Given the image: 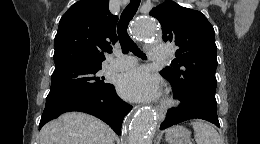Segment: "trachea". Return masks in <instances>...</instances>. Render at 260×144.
<instances>
[{"mask_svg":"<svg viewBox=\"0 0 260 144\" xmlns=\"http://www.w3.org/2000/svg\"><path fill=\"white\" fill-rule=\"evenodd\" d=\"M140 5V0H131L128 6L123 10L119 23L117 25V33L119 43L121 45L122 52L124 54L129 51L132 52L137 57L146 60V55L138 48V46L133 42L127 32L128 24L136 14L138 7Z\"/></svg>","mask_w":260,"mask_h":144,"instance_id":"obj_1","label":"trachea"}]
</instances>
